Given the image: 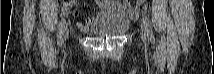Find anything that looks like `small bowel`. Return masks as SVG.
<instances>
[{
    "mask_svg": "<svg viewBox=\"0 0 214 74\" xmlns=\"http://www.w3.org/2000/svg\"><path fill=\"white\" fill-rule=\"evenodd\" d=\"M96 4L100 10H104V11L109 9H114V8H122V12L130 18H136L139 15V6H135L131 8L128 2H124L123 4H120L119 2L100 0V1H97ZM65 8L67 9L68 6L65 5ZM71 14L76 18V26L83 32H88L92 24L97 19L96 16H90L86 19V21H84L82 18L79 17V14L77 11H71Z\"/></svg>",
    "mask_w": 214,
    "mask_h": 74,
    "instance_id": "c3829d8e",
    "label": "small bowel"
}]
</instances>
